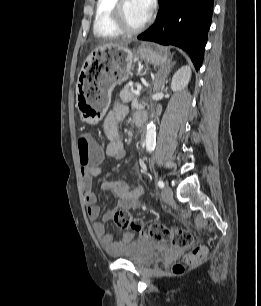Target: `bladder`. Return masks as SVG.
Segmentation results:
<instances>
[{
  "mask_svg": "<svg viewBox=\"0 0 261 306\" xmlns=\"http://www.w3.org/2000/svg\"><path fill=\"white\" fill-rule=\"evenodd\" d=\"M156 244L148 239H141L136 242L128 251L120 257L135 266L144 267L155 263L158 260Z\"/></svg>",
  "mask_w": 261,
  "mask_h": 306,
  "instance_id": "1",
  "label": "bladder"
}]
</instances>
